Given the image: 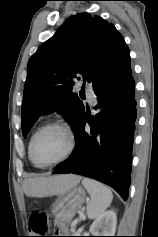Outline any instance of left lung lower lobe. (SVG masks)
I'll return each mask as SVG.
<instances>
[{"instance_id": "1", "label": "left lung lower lobe", "mask_w": 158, "mask_h": 237, "mask_svg": "<svg viewBox=\"0 0 158 237\" xmlns=\"http://www.w3.org/2000/svg\"><path fill=\"white\" fill-rule=\"evenodd\" d=\"M97 114L85 111L75 130L76 147L53 173H74L101 181L126 200L131 182L132 147L137 116L130 61L94 90ZM90 125V134L85 124Z\"/></svg>"}]
</instances>
